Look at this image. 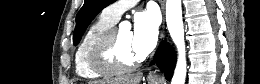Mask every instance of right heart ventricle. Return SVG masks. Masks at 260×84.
<instances>
[{
    "mask_svg": "<svg viewBox=\"0 0 260 84\" xmlns=\"http://www.w3.org/2000/svg\"><path fill=\"white\" fill-rule=\"evenodd\" d=\"M114 23L102 12L88 28L75 54V69L78 76L88 80L104 77V74L94 70L92 67V51L98 37L111 28Z\"/></svg>",
    "mask_w": 260,
    "mask_h": 84,
    "instance_id": "1",
    "label": "right heart ventricle"
}]
</instances>
